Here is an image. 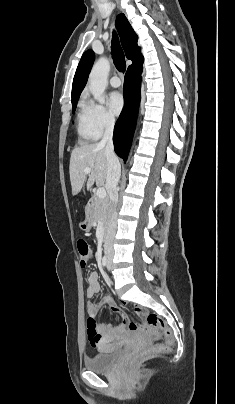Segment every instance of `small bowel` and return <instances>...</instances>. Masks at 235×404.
Masks as SVG:
<instances>
[{"mask_svg":"<svg viewBox=\"0 0 235 404\" xmlns=\"http://www.w3.org/2000/svg\"><path fill=\"white\" fill-rule=\"evenodd\" d=\"M98 278L99 276L96 272H91L88 275L86 288V296L88 298H92L99 292L100 286ZM104 305H107L111 311L118 313L122 317L123 322L116 326L111 324L95 323V331L99 341V343L95 342V344H98L99 348L104 347L108 342L120 344L131 332L128 316L121 309H119L109 297L102 298L99 302H89L87 304L89 319H94L100 308Z\"/></svg>","mask_w":235,"mask_h":404,"instance_id":"obj_1","label":"small bowel"}]
</instances>
